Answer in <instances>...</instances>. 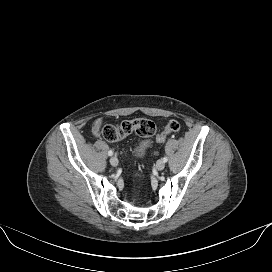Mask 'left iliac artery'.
Here are the masks:
<instances>
[{
  "label": "left iliac artery",
  "mask_w": 272,
  "mask_h": 272,
  "mask_svg": "<svg viewBox=\"0 0 272 272\" xmlns=\"http://www.w3.org/2000/svg\"><path fill=\"white\" fill-rule=\"evenodd\" d=\"M163 161H164V162H167V161H168V158H167V157H163Z\"/></svg>",
  "instance_id": "44dca946"
}]
</instances>
